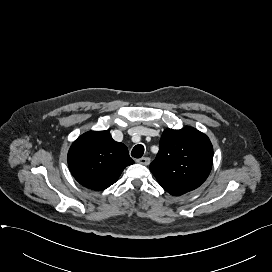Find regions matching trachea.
<instances>
[{
    "instance_id": "3493384b",
    "label": "trachea",
    "mask_w": 272,
    "mask_h": 272,
    "mask_svg": "<svg viewBox=\"0 0 272 272\" xmlns=\"http://www.w3.org/2000/svg\"><path fill=\"white\" fill-rule=\"evenodd\" d=\"M143 154H144V146L141 144L136 145L131 151V155L134 158H141Z\"/></svg>"
}]
</instances>
